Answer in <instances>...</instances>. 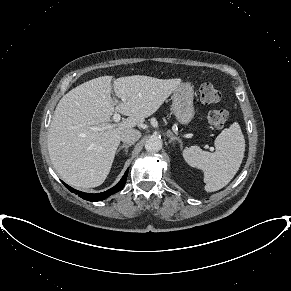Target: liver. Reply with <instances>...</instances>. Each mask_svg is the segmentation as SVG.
<instances>
[{
    "instance_id": "1",
    "label": "liver",
    "mask_w": 291,
    "mask_h": 291,
    "mask_svg": "<svg viewBox=\"0 0 291 291\" xmlns=\"http://www.w3.org/2000/svg\"><path fill=\"white\" fill-rule=\"evenodd\" d=\"M89 80L59 101L48 131V151L63 181L80 188L101 185L108 176L123 132L143 124L181 84V79L144 75ZM121 102L114 107L111 89ZM128 118L106 127L114 112Z\"/></svg>"
}]
</instances>
